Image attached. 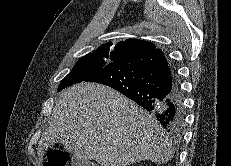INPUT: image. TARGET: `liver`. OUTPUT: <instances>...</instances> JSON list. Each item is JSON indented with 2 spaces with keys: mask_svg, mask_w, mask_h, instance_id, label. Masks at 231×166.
I'll use <instances>...</instances> for the list:
<instances>
[{
  "mask_svg": "<svg viewBox=\"0 0 231 166\" xmlns=\"http://www.w3.org/2000/svg\"><path fill=\"white\" fill-rule=\"evenodd\" d=\"M56 142L78 160H95L101 166L166 163L174 153L155 117L114 89L89 82L61 93L38 143V156Z\"/></svg>",
  "mask_w": 231,
  "mask_h": 166,
  "instance_id": "1",
  "label": "liver"
}]
</instances>
